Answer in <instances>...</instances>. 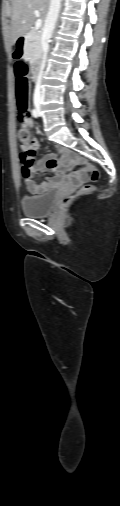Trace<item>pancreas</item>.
<instances>
[{
  "mask_svg": "<svg viewBox=\"0 0 120 506\" xmlns=\"http://www.w3.org/2000/svg\"><path fill=\"white\" fill-rule=\"evenodd\" d=\"M42 55L41 33L29 31L26 35L24 46V57L30 62H34Z\"/></svg>",
  "mask_w": 120,
  "mask_h": 506,
  "instance_id": "pancreas-1",
  "label": "pancreas"
}]
</instances>
